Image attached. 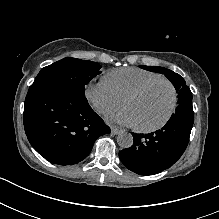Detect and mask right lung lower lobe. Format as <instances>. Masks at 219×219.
<instances>
[{"instance_id": "1", "label": "right lung lower lobe", "mask_w": 219, "mask_h": 219, "mask_svg": "<svg viewBox=\"0 0 219 219\" xmlns=\"http://www.w3.org/2000/svg\"><path fill=\"white\" fill-rule=\"evenodd\" d=\"M23 122L33 148L58 165L82 161L91 152L95 140L110 133L86 98L51 85L29 88Z\"/></svg>"}]
</instances>
